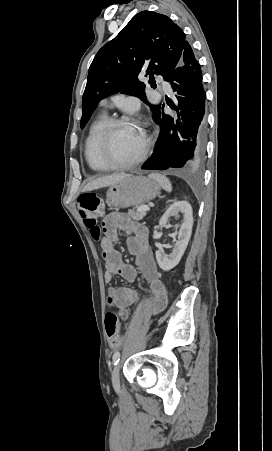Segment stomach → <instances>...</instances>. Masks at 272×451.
<instances>
[{
    "mask_svg": "<svg viewBox=\"0 0 272 451\" xmlns=\"http://www.w3.org/2000/svg\"><path fill=\"white\" fill-rule=\"evenodd\" d=\"M160 188L157 182L128 174L117 184H112L106 194V204L109 208H129V206H141L145 202L153 200L159 194Z\"/></svg>",
    "mask_w": 272,
    "mask_h": 451,
    "instance_id": "1",
    "label": "stomach"
}]
</instances>
